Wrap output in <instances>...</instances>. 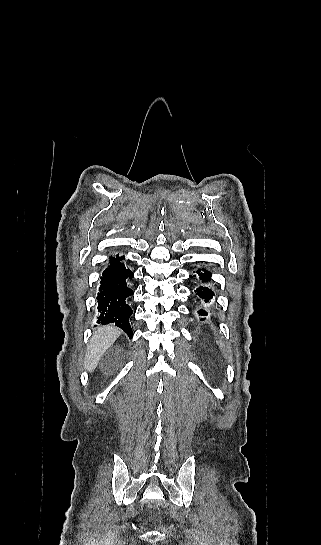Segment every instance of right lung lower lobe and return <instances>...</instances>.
Listing matches in <instances>:
<instances>
[{"label":"right lung lower lobe","mask_w":321,"mask_h":545,"mask_svg":"<svg viewBox=\"0 0 321 545\" xmlns=\"http://www.w3.org/2000/svg\"><path fill=\"white\" fill-rule=\"evenodd\" d=\"M124 256L111 257L110 265L106 268L101 277V285L97 296L98 320L97 323H115L132 338V329L129 324V317L132 309L126 304L125 299L133 295V291L127 286L126 279L133 278L134 274L126 269L121 262Z\"/></svg>","instance_id":"1"}]
</instances>
